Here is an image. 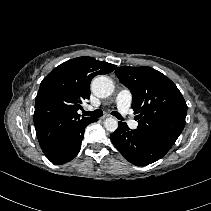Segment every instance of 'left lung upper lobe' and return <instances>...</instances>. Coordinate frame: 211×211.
Returning a JSON list of instances; mask_svg holds the SVG:
<instances>
[{"label":"left lung upper lobe","mask_w":211,"mask_h":211,"mask_svg":"<svg viewBox=\"0 0 211 211\" xmlns=\"http://www.w3.org/2000/svg\"><path fill=\"white\" fill-rule=\"evenodd\" d=\"M115 74L132 93V108L139 119L137 130L168 152L185 126L187 105L179 89L147 66H122Z\"/></svg>","instance_id":"1"}]
</instances>
